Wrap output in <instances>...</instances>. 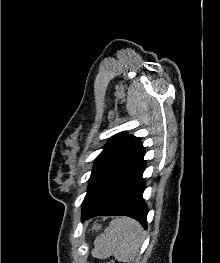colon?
<instances>
[{
  "mask_svg": "<svg viewBox=\"0 0 220 263\" xmlns=\"http://www.w3.org/2000/svg\"><path fill=\"white\" fill-rule=\"evenodd\" d=\"M105 263H120L119 261H116V260H109V261H107V262H105Z\"/></svg>",
  "mask_w": 220,
  "mask_h": 263,
  "instance_id": "colon-1",
  "label": "colon"
}]
</instances>
